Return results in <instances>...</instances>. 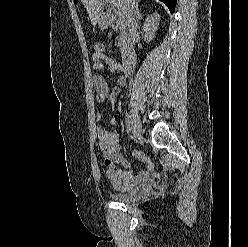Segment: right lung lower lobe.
I'll use <instances>...</instances> for the list:
<instances>
[{
    "label": "right lung lower lobe",
    "instance_id": "obj_1",
    "mask_svg": "<svg viewBox=\"0 0 248 247\" xmlns=\"http://www.w3.org/2000/svg\"><path fill=\"white\" fill-rule=\"evenodd\" d=\"M166 4V6L169 8L170 12L173 13L176 6V0H160Z\"/></svg>",
    "mask_w": 248,
    "mask_h": 247
}]
</instances>
